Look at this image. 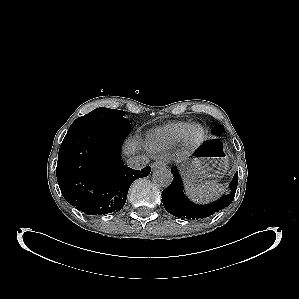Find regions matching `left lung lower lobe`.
I'll return each mask as SVG.
<instances>
[{"mask_svg":"<svg viewBox=\"0 0 299 299\" xmlns=\"http://www.w3.org/2000/svg\"><path fill=\"white\" fill-rule=\"evenodd\" d=\"M173 182L162 192L164 208L170 214L181 219L199 220L213 215L228 207L234 199L238 184V172L230 183L231 193L208 205H196L190 202L183 191V184L176 167H172Z\"/></svg>","mask_w":299,"mask_h":299,"instance_id":"0a47b994","label":"left lung lower lobe"}]
</instances>
